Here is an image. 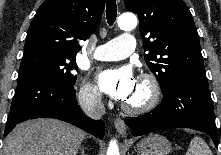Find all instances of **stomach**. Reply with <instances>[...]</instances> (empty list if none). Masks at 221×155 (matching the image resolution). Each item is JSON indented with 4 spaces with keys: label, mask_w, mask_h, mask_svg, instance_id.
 I'll list each match as a JSON object with an SVG mask.
<instances>
[{
    "label": "stomach",
    "mask_w": 221,
    "mask_h": 155,
    "mask_svg": "<svg viewBox=\"0 0 221 155\" xmlns=\"http://www.w3.org/2000/svg\"><path fill=\"white\" fill-rule=\"evenodd\" d=\"M138 155H169L171 143L159 134H150L137 143Z\"/></svg>",
    "instance_id": "1"
}]
</instances>
